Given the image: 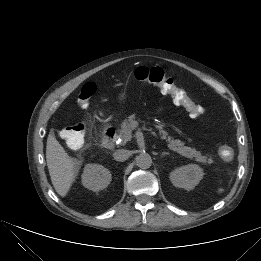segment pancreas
<instances>
[{"label":"pancreas","mask_w":261,"mask_h":261,"mask_svg":"<svg viewBox=\"0 0 261 261\" xmlns=\"http://www.w3.org/2000/svg\"><path fill=\"white\" fill-rule=\"evenodd\" d=\"M135 116H130L128 120H124L121 124V129H119V137L122 138L123 142L126 143L132 138V130L135 128ZM159 134L162 139L166 140L170 150L180 154L189 159H195V161L200 162L205 165H210L213 163L211 158L202 155L200 151H197L194 148L184 145V142L179 139H174L168 134L167 131L163 129L162 125H157Z\"/></svg>","instance_id":"pancreas-1"}]
</instances>
